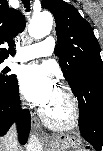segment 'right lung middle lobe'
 Segmentation results:
<instances>
[{"instance_id": "right-lung-middle-lobe-1", "label": "right lung middle lobe", "mask_w": 103, "mask_h": 151, "mask_svg": "<svg viewBox=\"0 0 103 151\" xmlns=\"http://www.w3.org/2000/svg\"><path fill=\"white\" fill-rule=\"evenodd\" d=\"M3 61H0V64ZM10 68H0V90L4 92H13L18 88L16 75L10 74Z\"/></svg>"}]
</instances>
